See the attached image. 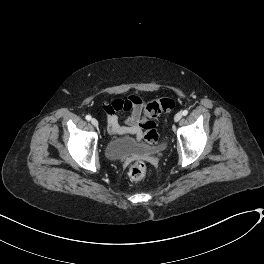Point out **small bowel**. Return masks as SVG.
<instances>
[{
  "mask_svg": "<svg viewBox=\"0 0 264 264\" xmlns=\"http://www.w3.org/2000/svg\"><path fill=\"white\" fill-rule=\"evenodd\" d=\"M106 114L108 131L113 136L131 134L138 140L143 139V122L145 121L144 101L132 95L126 100H116L102 106ZM126 111L129 115L122 119L118 112ZM123 122V124H120Z\"/></svg>",
  "mask_w": 264,
  "mask_h": 264,
  "instance_id": "obj_1",
  "label": "small bowel"
}]
</instances>
